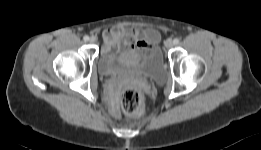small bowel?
I'll list each match as a JSON object with an SVG mask.
<instances>
[{"mask_svg": "<svg viewBox=\"0 0 261 150\" xmlns=\"http://www.w3.org/2000/svg\"><path fill=\"white\" fill-rule=\"evenodd\" d=\"M104 38L106 47H116L123 43L132 44L138 50H147L159 35L154 29H147L141 33L137 29L114 28L106 31Z\"/></svg>", "mask_w": 261, "mask_h": 150, "instance_id": "small-bowel-1", "label": "small bowel"}]
</instances>
